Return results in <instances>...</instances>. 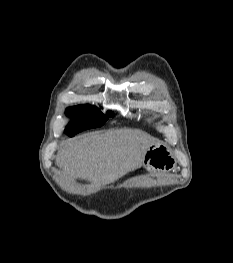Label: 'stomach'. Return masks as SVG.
I'll return each mask as SVG.
<instances>
[{"label": "stomach", "mask_w": 233, "mask_h": 263, "mask_svg": "<svg viewBox=\"0 0 233 263\" xmlns=\"http://www.w3.org/2000/svg\"><path fill=\"white\" fill-rule=\"evenodd\" d=\"M176 160L170 149L161 143L148 148L143 160V167L153 171H167L175 167Z\"/></svg>", "instance_id": "1"}]
</instances>
